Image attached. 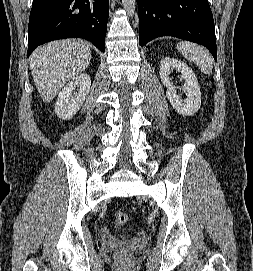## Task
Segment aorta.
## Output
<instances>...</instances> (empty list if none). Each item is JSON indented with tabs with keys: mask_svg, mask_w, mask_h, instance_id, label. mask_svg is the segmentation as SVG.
<instances>
[{
	"mask_svg": "<svg viewBox=\"0 0 253 271\" xmlns=\"http://www.w3.org/2000/svg\"><path fill=\"white\" fill-rule=\"evenodd\" d=\"M122 5L129 17H132L136 8V0H122Z\"/></svg>",
	"mask_w": 253,
	"mask_h": 271,
	"instance_id": "aorta-1",
	"label": "aorta"
}]
</instances>
